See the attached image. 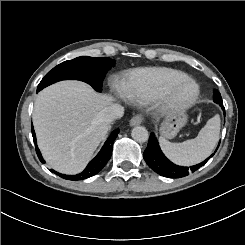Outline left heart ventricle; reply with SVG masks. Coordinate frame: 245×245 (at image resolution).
<instances>
[{
	"instance_id": "obj_1",
	"label": "left heart ventricle",
	"mask_w": 245,
	"mask_h": 245,
	"mask_svg": "<svg viewBox=\"0 0 245 245\" xmlns=\"http://www.w3.org/2000/svg\"><path fill=\"white\" fill-rule=\"evenodd\" d=\"M194 93V87L191 84L183 85L174 92V96L180 100L189 99Z\"/></svg>"
}]
</instances>
